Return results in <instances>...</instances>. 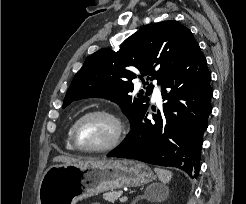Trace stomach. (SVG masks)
<instances>
[{"label":"stomach","mask_w":246,"mask_h":204,"mask_svg":"<svg viewBox=\"0 0 246 204\" xmlns=\"http://www.w3.org/2000/svg\"><path fill=\"white\" fill-rule=\"evenodd\" d=\"M151 168L133 160H86L49 167L40 182L38 204H76L104 191L151 182Z\"/></svg>","instance_id":"obj_1"}]
</instances>
